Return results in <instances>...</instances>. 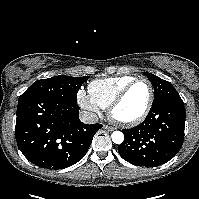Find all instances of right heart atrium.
<instances>
[{
    "mask_svg": "<svg viewBox=\"0 0 199 199\" xmlns=\"http://www.w3.org/2000/svg\"><path fill=\"white\" fill-rule=\"evenodd\" d=\"M77 101L80 107L86 110L91 116H96L100 113V107L92 100L90 95L83 89L77 93Z\"/></svg>",
    "mask_w": 199,
    "mask_h": 199,
    "instance_id": "d8ad5b80",
    "label": "right heart atrium"
}]
</instances>
